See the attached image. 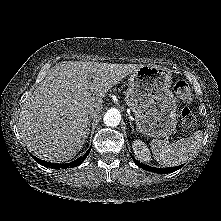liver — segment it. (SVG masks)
Instances as JSON below:
<instances>
[{
    "label": "liver",
    "instance_id": "obj_1",
    "mask_svg": "<svg viewBox=\"0 0 221 221\" xmlns=\"http://www.w3.org/2000/svg\"><path fill=\"white\" fill-rule=\"evenodd\" d=\"M141 66L92 61L56 66L21 109L18 124L23 143L50 162L74 158L86 139L88 110L102 109L106 93Z\"/></svg>",
    "mask_w": 221,
    "mask_h": 221
}]
</instances>
